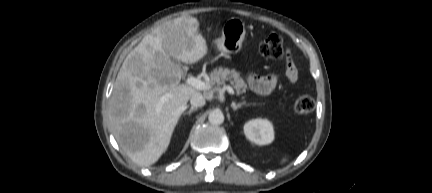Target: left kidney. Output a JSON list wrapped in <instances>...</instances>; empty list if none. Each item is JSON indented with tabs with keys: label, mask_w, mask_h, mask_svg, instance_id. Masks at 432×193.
Listing matches in <instances>:
<instances>
[{
	"label": "left kidney",
	"mask_w": 432,
	"mask_h": 193,
	"mask_svg": "<svg viewBox=\"0 0 432 193\" xmlns=\"http://www.w3.org/2000/svg\"><path fill=\"white\" fill-rule=\"evenodd\" d=\"M245 136L258 145H267L274 140L272 123L267 119H252L244 125Z\"/></svg>",
	"instance_id": "left-kidney-1"
}]
</instances>
